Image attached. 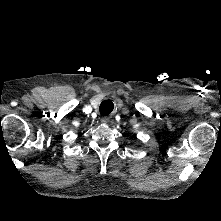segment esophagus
<instances>
[{"label":"esophagus","instance_id":"esophagus-1","mask_svg":"<svg viewBox=\"0 0 221 221\" xmlns=\"http://www.w3.org/2000/svg\"><path fill=\"white\" fill-rule=\"evenodd\" d=\"M101 123H103V124H107L108 123V121H109V119L108 118H106V117H103V118H101Z\"/></svg>","mask_w":221,"mask_h":221}]
</instances>
